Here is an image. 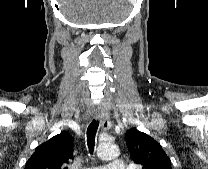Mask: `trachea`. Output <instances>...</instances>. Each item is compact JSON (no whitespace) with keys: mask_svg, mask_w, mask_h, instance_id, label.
I'll use <instances>...</instances> for the list:
<instances>
[{"mask_svg":"<svg viewBox=\"0 0 208 169\" xmlns=\"http://www.w3.org/2000/svg\"><path fill=\"white\" fill-rule=\"evenodd\" d=\"M99 126L98 120H93L87 128V144L90 154H93L95 146V136Z\"/></svg>","mask_w":208,"mask_h":169,"instance_id":"obj_1","label":"trachea"}]
</instances>
